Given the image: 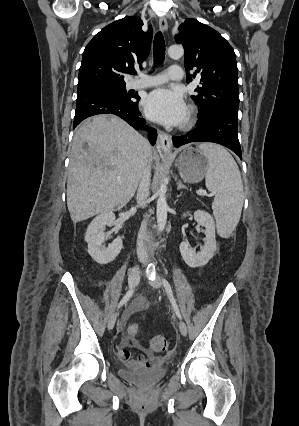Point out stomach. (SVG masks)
<instances>
[{"mask_svg": "<svg viewBox=\"0 0 299 426\" xmlns=\"http://www.w3.org/2000/svg\"><path fill=\"white\" fill-rule=\"evenodd\" d=\"M175 165L181 178L188 183L200 182L209 169L208 158L200 150L192 147H187L181 152Z\"/></svg>", "mask_w": 299, "mask_h": 426, "instance_id": "obj_1", "label": "stomach"}]
</instances>
